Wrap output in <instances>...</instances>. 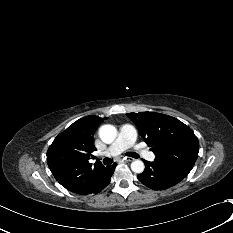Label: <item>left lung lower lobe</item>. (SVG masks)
<instances>
[{"label":"left lung lower lobe","instance_id":"1","mask_svg":"<svg viewBox=\"0 0 233 233\" xmlns=\"http://www.w3.org/2000/svg\"><path fill=\"white\" fill-rule=\"evenodd\" d=\"M137 178L150 189L165 190L182 181L185 176L155 161H145V170Z\"/></svg>","mask_w":233,"mask_h":233}]
</instances>
